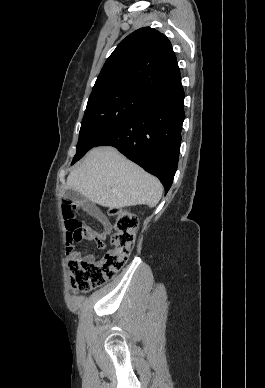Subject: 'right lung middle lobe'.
Returning <instances> with one entry per match:
<instances>
[{
  "label": "right lung middle lobe",
  "mask_w": 265,
  "mask_h": 388,
  "mask_svg": "<svg viewBox=\"0 0 265 388\" xmlns=\"http://www.w3.org/2000/svg\"><path fill=\"white\" fill-rule=\"evenodd\" d=\"M144 97L123 91H100L89 97L81 123L77 152L72 164L96 143L133 114Z\"/></svg>",
  "instance_id": "right-lung-middle-lobe-1"
}]
</instances>
